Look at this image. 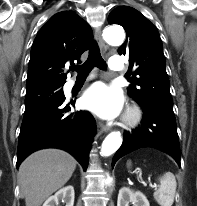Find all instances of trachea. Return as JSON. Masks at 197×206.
<instances>
[{"mask_svg":"<svg viewBox=\"0 0 197 206\" xmlns=\"http://www.w3.org/2000/svg\"><path fill=\"white\" fill-rule=\"evenodd\" d=\"M94 67H98L100 69L106 68V63L103 60L98 45L96 43L92 45L89 51V56L85 63L80 66H74L71 68V70L77 71L78 77H85Z\"/></svg>","mask_w":197,"mask_h":206,"instance_id":"1","label":"trachea"}]
</instances>
